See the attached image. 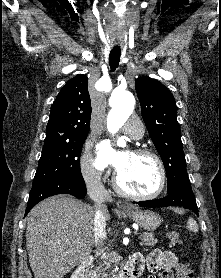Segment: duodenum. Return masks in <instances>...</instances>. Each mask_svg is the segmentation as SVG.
I'll use <instances>...</instances> for the list:
<instances>
[{"mask_svg": "<svg viewBox=\"0 0 221 278\" xmlns=\"http://www.w3.org/2000/svg\"><path fill=\"white\" fill-rule=\"evenodd\" d=\"M90 261L86 260L80 268L72 275L71 278H86L85 270L89 266ZM142 272L136 260L132 259L124 268L119 278H138Z\"/></svg>", "mask_w": 221, "mask_h": 278, "instance_id": "410a0bca", "label": "duodenum"}]
</instances>
